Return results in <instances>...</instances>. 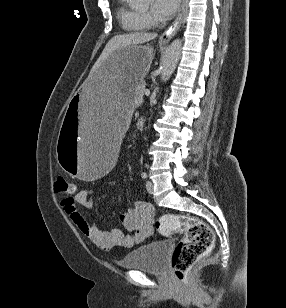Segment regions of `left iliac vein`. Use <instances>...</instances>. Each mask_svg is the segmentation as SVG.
<instances>
[{
	"label": "left iliac vein",
	"mask_w": 286,
	"mask_h": 308,
	"mask_svg": "<svg viewBox=\"0 0 286 308\" xmlns=\"http://www.w3.org/2000/svg\"><path fill=\"white\" fill-rule=\"evenodd\" d=\"M146 190L150 194H152L154 192V185H153L152 181H150V180L146 181Z\"/></svg>",
	"instance_id": "obj_1"
}]
</instances>
